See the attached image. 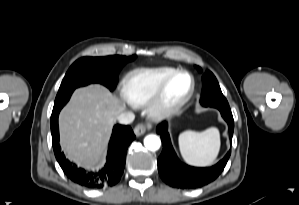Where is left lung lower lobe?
I'll return each mask as SVG.
<instances>
[{
  "label": "left lung lower lobe",
  "mask_w": 299,
  "mask_h": 205,
  "mask_svg": "<svg viewBox=\"0 0 299 205\" xmlns=\"http://www.w3.org/2000/svg\"><path fill=\"white\" fill-rule=\"evenodd\" d=\"M203 105V104H202ZM217 108L229 126V137L232 139L234 120L228 102L203 105ZM168 124L162 122L157 127L163 142V151L158 158V170L162 180L171 187L181 189H195L214 181L223 171L230 157L231 151L212 167L196 168L179 161L171 145L167 132Z\"/></svg>",
  "instance_id": "left-lung-lower-lobe-1"
}]
</instances>
